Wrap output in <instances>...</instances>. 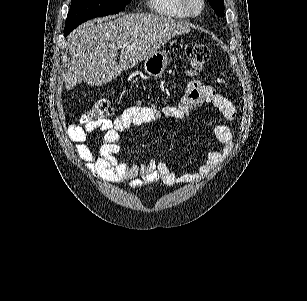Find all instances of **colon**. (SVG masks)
<instances>
[{"label":"colon","instance_id":"1","mask_svg":"<svg viewBox=\"0 0 307 301\" xmlns=\"http://www.w3.org/2000/svg\"><path fill=\"white\" fill-rule=\"evenodd\" d=\"M186 60L191 74L202 69L210 59V49L203 44L191 43L185 49ZM113 114V109L107 100L98 101L93 107L86 110L80 122L83 125L92 124L97 121L108 120Z\"/></svg>","mask_w":307,"mask_h":301}]
</instances>
